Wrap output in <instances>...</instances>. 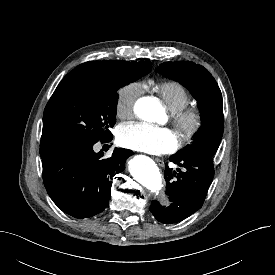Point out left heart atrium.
<instances>
[{
    "label": "left heart atrium",
    "instance_id": "39dd6f15",
    "mask_svg": "<svg viewBox=\"0 0 275 275\" xmlns=\"http://www.w3.org/2000/svg\"><path fill=\"white\" fill-rule=\"evenodd\" d=\"M117 140L125 148L151 154L172 152L178 145L171 130L144 122L122 124L118 128Z\"/></svg>",
    "mask_w": 275,
    "mask_h": 275
}]
</instances>
